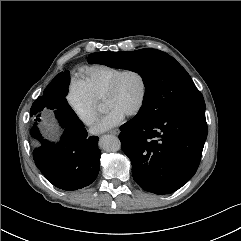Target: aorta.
Masks as SVG:
<instances>
[{"instance_id": "762f6f07", "label": "aorta", "mask_w": 241, "mask_h": 241, "mask_svg": "<svg viewBox=\"0 0 241 241\" xmlns=\"http://www.w3.org/2000/svg\"><path fill=\"white\" fill-rule=\"evenodd\" d=\"M100 147L107 152H116L121 148L120 140L113 135H104L99 141Z\"/></svg>"}]
</instances>
